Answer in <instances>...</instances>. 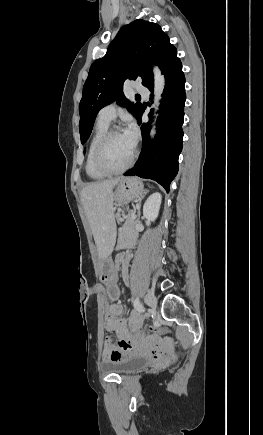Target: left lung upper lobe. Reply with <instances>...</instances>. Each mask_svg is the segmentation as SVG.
<instances>
[{
  "instance_id": "left-lung-upper-lobe-1",
  "label": "left lung upper lobe",
  "mask_w": 263,
  "mask_h": 435,
  "mask_svg": "<svg viewBox=\"0 0 263 435\" xmlns=\"http://www.w3.org/2000/svg\"><path fill=\"white\" fill-rule=\"evenodd\" d=\"M176 59V48L158 24L139 19L123 26L106 55L91 65L83 86L79 104L82 144L89 138L99 110L115 100L139 117L142 105L129 102L121 92L125 80L140 77L142 84L149 88L154 81L152 64L156 63L166 74Z\"/></svg>"
}]
</instances>
